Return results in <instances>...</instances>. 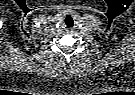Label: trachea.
<instances>
[{
	"mask_svg": "<svg viewBox=\"0 0 135 95\" xmlns=\"http://www.w3.org/2000/svg\"><path fill=\"white\" fill-rule=\"evenodd\" d=\"M65 25L67 28H72L74 26L73 19L71 17H67L65 19Z\"/></svg>",
	"mask_w": 135,
	"mask_h": 95,
	"instance_id": "1",
	"label": "trachea"
}]
</instances>
